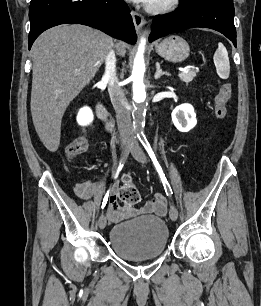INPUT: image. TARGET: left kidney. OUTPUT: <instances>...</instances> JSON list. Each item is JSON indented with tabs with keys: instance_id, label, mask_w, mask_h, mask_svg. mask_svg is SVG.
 <instances>
[{
	"instance_id": "obj_1",
	"label": "left kidney",
	"mask_w": 261,
	"mask_h": 306,
	"mask_svg": "<svg viewBox=\"0 0 261 306\" xmlns=\"http://www.w3.org/2000/svg\"><path fill=\"white\" fill-rule=\"evenodd\" d=\"M171 116L175 127L180 132H189L197 124L194 108L187 103L177 106Z\"/></svg>"
}]
</instances>
